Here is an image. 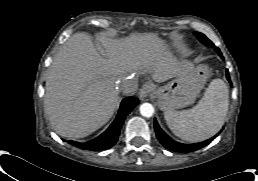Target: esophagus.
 Masks as SVG:
<instances>
[{
	"label": "esophagus",
	"instance_id": "esophagus-1",
	"mask_svg": "<svg viewBox=\"0 0 258 181\" xmlns=\"http://www.w3.org/2000/svg\"><path fill=\"white\" fill-rule=\"evenodd\" d=\"M153 90V85L150 84V83H145L140 91H139V97L141 100H145L149 95L150 93L152 92Z\"/></svg>",
	"mask_w": 258,
	"mask_h": 181
}]
</instances>
